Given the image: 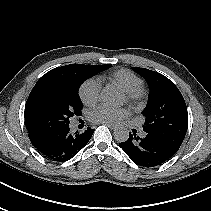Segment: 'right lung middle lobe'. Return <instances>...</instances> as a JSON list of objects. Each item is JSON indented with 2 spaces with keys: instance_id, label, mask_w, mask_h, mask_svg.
Returning <instances> with one entry per match:
<instances>
[{
  "instance_id": "right-lung-middle-lobe-1",
  "label": "right lung middle lobe",
  "mask_w": 211,
  "mask_h": 211,
  "mask_svg": "<svg viewBox=\"0 0 211 211\" xmlns=\"http://www.w3.org/2000/svg\"><path fill=\"white\" fill-rule=\"evenodd\" d=\"M111 65L87 66L72 80L58 85H45L32 90L25 105V123L29 133L70 123L81 115L83 104L78 90L83 81L108 69Z\"/></svg>"
}]
</instances>
